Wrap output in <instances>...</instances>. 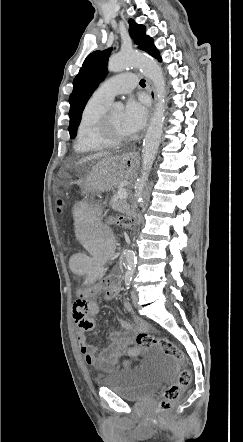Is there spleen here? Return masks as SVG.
I'll return each mask as SVG.
<instances>
[{
  "label": "spleen",
  "instance_id": "obj_1",
  "mask_svg": "<svg viewBox=\"0 0 243 442\" xmlns=\"http://www.w3.org/2000/svg\"><path fill=\"white\" fill-rule=\"evenodd\" d=\"M68 202H81V193H68ZM73 212L76 219L75 235L79 242H84L89 248V254H83L82 259H77L76 265L80 274H85L86 280H105L103 258H114L113 239H104L105 228L97 217H93L91 205H74ZM79 296H94V287H79Z\"/></svg>",
  "mask_w": 243,
  "mask_h": 442
}]
</instances>
